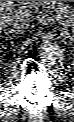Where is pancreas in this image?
Returning <instances> with one entry per match:
<instances>
[{"mask_svg":"<svg viewBox=\"0 0 74 122\" xmlns=\"http://www.w3.org/2000/svg\"><path fill=\"white\" fill-rule=\"evenodd\" d=\"M31 7H49L56 12V17H60L57 21L70 26L74 17V10L72 6L64 1H30Z\"/></svg>","mask_w":74,"mask_h":122,"instance_id":"1","label":"pancreas"}]
</instances>
